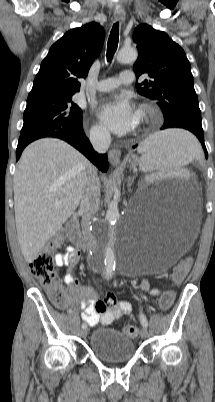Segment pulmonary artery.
Wrapping results in <instances>:
<instances>
[{
	"mask_svg": "<svg viewBox=\"0 0 215 402\" xmlns=\"http://www.w3.org/2000/svg\"><path fill=\"white\" fill-rule=\"evenodd\" d=\"M134 80V73L132 71H123L118 77H111L99 81L96 84V89L98 91H110L121 84H129Z\"/></svg>",
	"mask_w": 215,
	"mask_h": 402,
	"instance_id": "e3ab8cb5",
	"label": "pulmonary artery"
}]
</instances>
